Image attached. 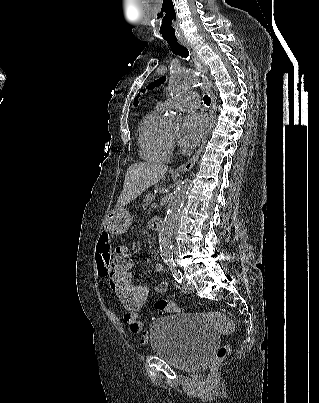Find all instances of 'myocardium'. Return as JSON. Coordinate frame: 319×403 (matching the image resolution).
I'll use <instances>...</instances> for the list:
<instances>
[{"label": "myocardium", "instance_id": "1", "mask_svg": "<svg viewBox=\"0 0 319 403\" xmlns=\"http://www.w3.org/2000/svg\"><path fill=\"white\" fill-rule=\"evenodd\" d=\"M166 138H167V141H168L169 145L171 146L173 144V142H174V138L169 136L167 133H166Z\"/></svg>", "mask_w": 319, "mask_h": 403}]
</instances>
